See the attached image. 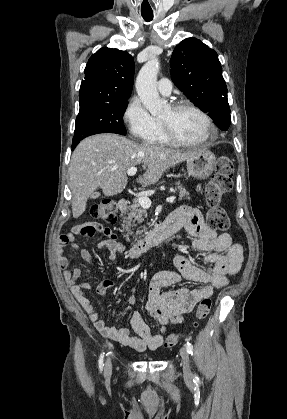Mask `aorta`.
<instances>
[{"label": "aorta", "mask_w": 287, "mask_h": 419, "mask_svg": "<svg viewBox=\"0 0 287 419\" xmlns=\"http://www.w3.org/2000/svg\"><path fill=\"white\" fill-rule=\"evenodd\" d=\"M159 69V59L157 57L150 58L140 69L135 84L141 102L154 116L161 114L164 109V103L157 90Z\"/></svg>", "instance_id": "aorta-1"}]
</instances>
